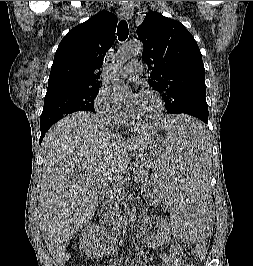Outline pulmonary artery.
Masks as SVG:
<instances>
[{
  "mask_svg": "<svg viewBox=\"0 0 253 266\" xmlns=\"http://www.w3.org/2000/svg\"><path fill=\"white\" fill-rule=\"evenodd\" d=\"M143 65L140 61H131L128 63L126 66H124L120 74L123 78L128 79V80H137L141 77L143 74Z\"/></svg>",
  "mask_w": 253,
  "mask_h": 266,
  "instance_id": "obj_1",
  "label": "pulmonary artery"
}]
</instances>
